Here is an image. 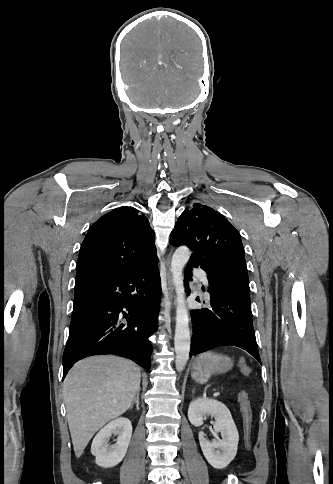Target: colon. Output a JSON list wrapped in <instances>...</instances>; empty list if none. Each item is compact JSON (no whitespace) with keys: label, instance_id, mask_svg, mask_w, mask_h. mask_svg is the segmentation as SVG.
<instances>
[{"label":"colon","instance_id":"1","mask_svg":"<svg viewBox=\"0 0 333 484\" xmlns=\"http://www.w3.org/2000/svg\"><path fill=\"white\" fill-rule=\"evenodd\" d=\"M239 368L244 375H249L251 373L250 366L244 360H240ZM238 400H239L240 409L243 416L244 443H245L246 449L249 450L251 448V437H252V423H253L252 409L246 392L244 391L239 392Z\"/></svg>","mask_w":333,"mask_h":484}]
</instances>
